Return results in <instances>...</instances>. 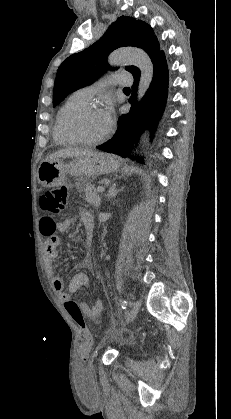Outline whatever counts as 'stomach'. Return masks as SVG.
<instances>
[{"label":"stomach","mask_w":231,"mask_h":419,"mask_svg":"<svg viewBox=\"0 0 231 419\" xmlns=\"http://www.w3.org/2000/svg\"><path fill=\"white\" fill-rule=\"evenodd\" d=\"M120 166L119 159L111 154L93 152L90 155L75 157L69 162L61 158L44 160L38 167L39 183L46 188L66 183V175L77 178L76 187L81 190L96 176L115 172Z\"/></svg>","instance_id":"1"}]
</instances>
